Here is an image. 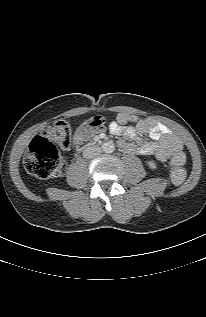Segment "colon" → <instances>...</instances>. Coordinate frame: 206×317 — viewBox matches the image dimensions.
Returning a JSON list of instances; mask_svg holds the SVG:
<instances>
[{
  "mask_svg": "<svg viewBox=\"0 0 206 317\" xmlns=\"http://www.w3.org/2000/svg\"><path fill=\"white\" fill-rule=\"evenodd\" d=\"M105 119L93 116L87 119L77 130L78 139H86L102 132ZM71 143V128L68 122L58 121L46 127L30 142L24 157L26 170L42 179H54L64 175L66 163L58 147L66 148ZM184 154L178 153L170 161V174L173 183L181 184L186 178Z\"/></svg>",
  "mask_w": 206,
  "mask_h": 317,
  "instance_id": "5ec220e1",
  "label": "colon"
}]
</instances>
